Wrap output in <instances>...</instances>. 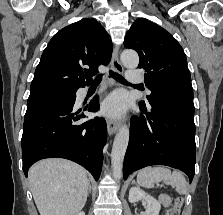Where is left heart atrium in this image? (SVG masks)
I'll return each mask as SVG.
<instances>
[{
  "label": "left heart atrium",
  "mask_w": 223,
  "mask_h": 215,
  "mask_svg": "<svg viewBox=\"0 0 223 215\" xmlns=\"http://www.w3.org/2000/svg\"><path fill=\"white\" fill-rule=\"evenodd\" d=\"M128 107V100L121 93H114L109 96L103 105L104 112L109 115H121Z\"/></svg>",
  "instance_id": "1"
}]
</instances>
